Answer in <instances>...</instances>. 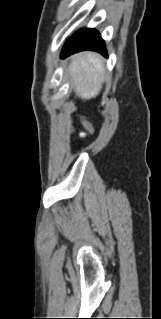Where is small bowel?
<instances>
[{
    "instance_id": "obj_1",
    "label": "small bowel",
    "mask_w": 161,
    "mask_h": 319,
    "mask_svg": "<svg viewBox=\"0 0 161 319\" xmlns=\"http://www.w3.org/2000/svg\"><path fill=\"white\" fill-rule=\"evenodd\" d=\"M80 135H81V136H83V135H84V133H81Z\"/></svg>"
}]
</instances>
